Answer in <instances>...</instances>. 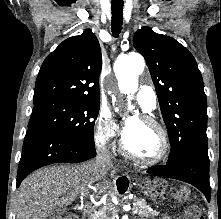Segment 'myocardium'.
<instances>
[{"label":"myocardium","mask_w":221,"mask_h":219,"mask_svg":"<svg viewBox=\"0 0 221 219\" xmlns=\"http://www.w3.org/2000/svg\"><path fill=\"white\" fill-rule=\"evenodd\" d=\"M139 120L146 125L154 127L158 131L159 136H160V141H161V146H160V150H159L158 154L152 158H143L138 155H135L128 150L124 139H122V141L120 143V151L125 157H127L135 162H138L140 164L148 165V166L157 165V164L163 162L167 158V156L169 155L170 140H169L168 132L160 122H158L157 120H155L149 116H141L139 118Z\"/></svg>","instance_id":"myocardium-1"}]
</instances>
